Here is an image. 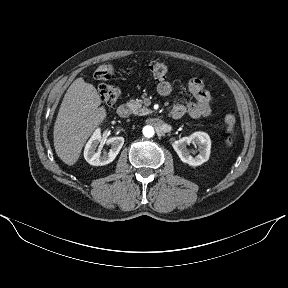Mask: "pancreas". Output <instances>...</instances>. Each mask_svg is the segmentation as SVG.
I'll return each instance as SVG.
<instances>
[{
  "mask_svg": "<svg viewBox=\"0 0 288 288\" xmlns=\"http://www.w3.org/2000/svg\"><path fill=\"white\" fill-rule=\"evenodd\" d=\"M127 106L130 108L133 114L139 115V116L147 115L152 112L150 109L143 106V102L140 99L130 100L127 103Z\"/></svg>",
  "mask_w": 288,
  "mask_h": 288,
  "instance_id": "pancreas-1",
  "label": "pancreas"
}]
</instances>
